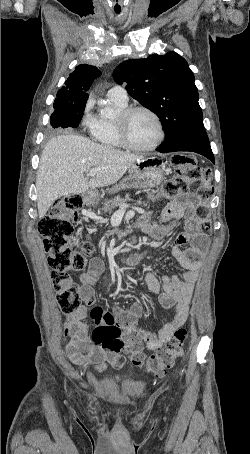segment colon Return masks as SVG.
<instances>
[{
    "instance_id": "1",
    "label": "colon",
    "mask_w": 250,
    "mask_h": 454,
    "mask_svg": "<svg viewBox=\"0 0 250 454\" xmlns=\"http://www.w3.org/2000/svg\"><path fill=\"white\" fill-rule=\"evenodd\" d=\"M171 160L176 174L161 185L155 197L175 200L188 192L191 183L199 181L193 215L198 221L199 230L209 235L212 232L209 200L214 193L211 168L199 166L192 155L175 154ZM82 206L81 195L65 196L55 202L38 227L48 255L56 300L60 309L67 314L75 313L81 306L79 289L70 273L84 270L87 259L93 252V245L89 241H85L80 249L72 244L74 225ZM90 315L96 324L91 337L94 343L112 353L130 354L134 365L143 367L155 376H163L184 353L187 339L184 328L177 329L171 341L146 358L142 353V334L136 329L132 316L124 314L117 318L100 306H95Z\"/></svg>"
}]
</instances>
